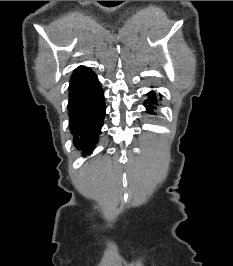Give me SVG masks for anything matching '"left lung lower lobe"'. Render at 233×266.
Wrapping results in <instances>:
<instances>
[{
  "mask_svg": "<svg viewBox=\"0 0 233 266\" xmlns=\"http://www.w3.org/2000/svg\"><path fill=\"white\" fill-rule=\"evenodd\" d=\"M148 96H149V98L146 100L145 104L150 103L149 105H146V108H147V112L152 114L153 109H155L156 107L152 106L151 104H153V103L156 104V102H157L156 93L154 91L149 92Z\"/></svg>",
  "mask_w": 233,
  "mask_h": 266,
  "instance_id": "1",
  "label": "left lung lower lobe"
}]
</instances>
